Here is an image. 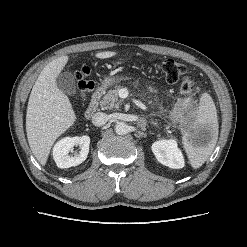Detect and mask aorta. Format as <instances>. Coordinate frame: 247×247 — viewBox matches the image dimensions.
<instances>
[{
  "instance_id": "obj_1",
  "label": "aorta",
  "mask_w": 247,
  "mask_h": 247,
  "mask_svg": "<svg viewBox=\"0 0 247 247\" xmlns=\"http://www.w3.org/2000/svg\"><path fill=\"white\" fill-rule=\"evenodd\" d=\"M115 132L118 135H126L129 132V126L122 121H119L115 124Z\"/></svg>"
}]
</instances>
